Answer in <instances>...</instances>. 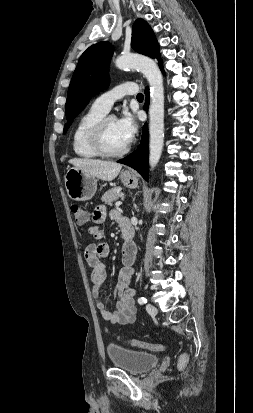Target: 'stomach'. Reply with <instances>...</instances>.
Segmentation results:
<instances>
[{
	"label": "stomach",
	"instance_id": "obj_1",
	"mask_svg": "<svg viewBox=\"0 0 253 413\" xmlns=\"http://www.w3.org/2000/svg\"><path fill=\"white\" fill-rule=\"evenodd\" d=\"M120 179L128 188H136L138 185L137 177L131 172H122ZM65 188L72 200L87 201L96 193L97 179L79 168L71 167L65 174Z\"/></svg>",
	"mask_w": 253,
	"mask_h": 413
}]
</instances>
